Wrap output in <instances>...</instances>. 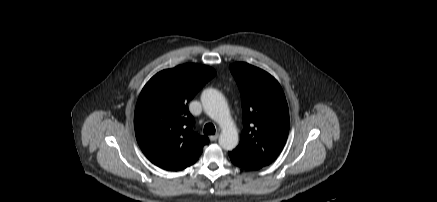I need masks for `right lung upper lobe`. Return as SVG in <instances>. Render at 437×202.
Instances as JSON below:
<instances>
[{
    "instance_id": "1",
    "label": "right lung upper lobe",
    "mask_w": 437,
    "mask_h": 202,
    "mask_svg": "<svg viewBox=\"0 0 437 202\" xmlns=\"http://www.w3.org/2000/svg\"><path fill=\"white\" fill-rule=\"evenodd\" d=\"M215 75L208 66L184 64L160 71L144 86L134 128L141 150L153 164L178 171L197 161L209 139L193 131L188 103Z\"/></svg>"
}]
</instances>
